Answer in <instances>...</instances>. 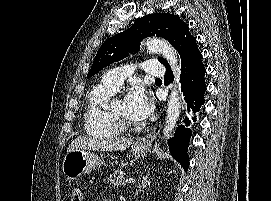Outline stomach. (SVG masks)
<instances>
[{
	"mask_svg": "<svg viewBox=\"0 0 271 201\" xmlns=\"http://www.w3.org/2000/svg\"><path fill=\"white\" fill-rule=\"evenodd\" d=\"M147 149L148 146H139L136 143L132 146V152L136 158L144 157ZM102 164L103 160L98 154L88 150L77 149L66 154L62 169L67 179L77 180Z\"/></svg>",
	"mask_w": 271,
	"mask_h": 201,
	"instance_id": "obj_1",
	"label": "stomach"
}]
</instances>
